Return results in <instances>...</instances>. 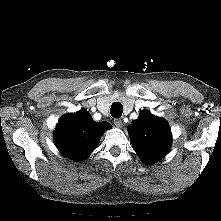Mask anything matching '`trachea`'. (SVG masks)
I'll return each instance as SVG.
<instances>
[{"instance_id":"obj_1","label":"trachea","mask_w":221,"mask_h":221,"mask_svg":"<svg viewBox=\"0 0 221 221\" xmlns=\"http://www.w3.org/2000/svg\"><path fill=\"white\" fill-rule=\"evenodd\" d=\"M122 112H123V107L121 103L114 102L111 105L110 113L111 116H113L114 118H120L122 116Z\"/></svg>"}]
</instances>
